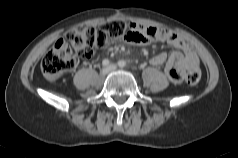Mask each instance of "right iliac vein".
Wrapping results in <instances>:
<instances>
[{"label": "right iliac vein", "mask_w": 238, "mask_h": 158, "mask_svg": "<svg viewBox=\"0 0 238 158\" xmlns=\"http://www.w3.org/2000/svg\"><path fill=\"white\" fill-rule=\"evenodd\" d=\"M109 70L108 68H103L101 71H100V74L102 77L106 76L108 74Z\"/></svg>", "instance_id": "63e3f726"}]
</instances>
